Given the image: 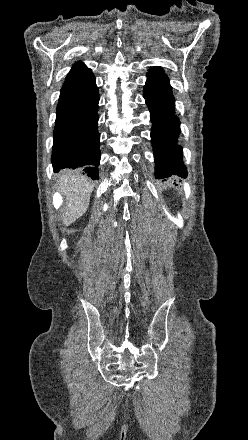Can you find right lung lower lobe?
Instances as JSON below:
<instances>
[{
    "instance_id": "right-lung-lower-lobe-1",
    "label": "right lung lower lobe",
    "mask_w": 248,
    "mask_h": 440,
    "mask_svg": "<svg viewBox=\"0 0 248 440\" xmlns=\"http://www.w3.org/2000/svg\"><path fill=\"white\" fill-rule=\"evenodd\" d=\"M98 101L95 79L80 87L61 91L51 157L55 170L81 168L83 174L98 179Z\"/></svg>"
}]
</instances>
